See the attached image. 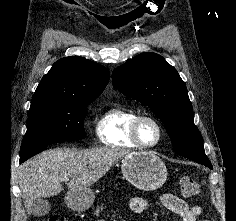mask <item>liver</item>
<instances>
[{
	"label": "liver",
	"mask_w": 236,
	"mask_h": 221,
	"mask_svg": "<svg viewBox=\"0 0 236 221\" xmlns=\"http://www.w3.org/2000/svg\"><path fill=\"white\" fill-rule=\"evenodd\" d=\"M130 153L113 146L87 150L55 148L23 163L19 168V186L28 215L35 199L55 196L63 190L64 178L70 179V192L87 189Z\"/></svg>",
	"instance_id": "liver-1"
}]
</instances>
